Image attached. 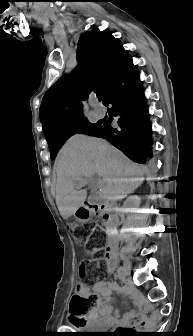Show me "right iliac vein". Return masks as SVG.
Here are the masks:
<instances>
[{
  "label": "right iliac vein",
  "instance_id": "63e3f726",
  "mask_svg": "<svg viewBox=\"0 0 193 336\" xmlns=\"http://www.w3.org/2000/svg\"><path fill=\"white\" fill-rule=\"evenodd\" d=\"M130 271H131V266H130V263L128 261V259H124V264H123V267H122V274H121V278H124L128 275H130Z\"/></svg>",
  "mask_w": 193,
  "mask_h": 336
}]
</instances>
